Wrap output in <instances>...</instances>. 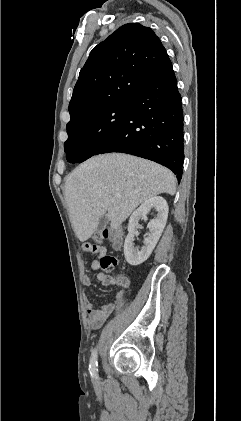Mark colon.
<instances>
[{"instance_id": "1", "label": "colon", "mask_w": 241, "mask_h": 421, "mask_svg": "<svg viewBox=\"0 0 241 421\" xmlns=\"http://www.w3.org/2000/svg\"><path fill=\"white\" fill-rule=\"evenodd\" d=\"M102 240H109L113 243L115 247H120L123 240V234L120 228L114 230L105 229L97 236V241L101 242ZM98 245L92 243H85L83 245V250L87 253H94L97 250ZM117 265V260L111 255H106L100 260V267L102 274L106 277L107 280H112L116 282H123L124 278L117 277L113 275L110 271L113 267Z\"/></svg>"}]
</instances>
